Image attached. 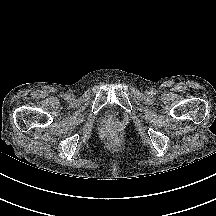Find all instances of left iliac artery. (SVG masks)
Masks as SVG:
<instances>
[{"instance_id": "1", "label": "left iliac artery", "mask_w": 216, "mask_h": 216, "mask_svg": "<svg viewBox=\"0 0 216 216\" xmlns=\"http://www.w3.org/2000/svg\"><path fill=\"white\" fill-rule=\"evenodd\" d=\"M151 93L155 95V94H156V90H155V89H152V90H151Z\"/></svg>"}]
</instances>
